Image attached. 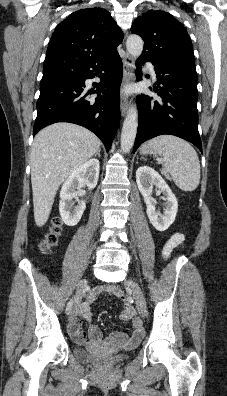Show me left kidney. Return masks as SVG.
Returning <instances> with one entry per match:
<instances>
[{
    "mask_svg": "<svg viewBox=\"0 0 227 396\" xmlns=\"http://www.w3.org/2000/svg\"><path fill=\"white\" fill-rule=\"evenodd\" d=\"M136 182L139 191L144 197V201L147 206V216L151 224L158 231L167 230L174 222L178 210V202L172 190L162 176L148 166H141L137 169ZM153 185L159 189V193L164 195L165 202L163 204V214L156 211L155 206L151 202L150 195L152 193Z\"/></svg>",
    "mask_w": 227,
    "mask_h": 396,
    "instance_id": "5707ae66",
    "label": "left kidney"
}]
</instances>
